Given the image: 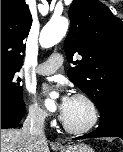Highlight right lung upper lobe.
<instances>
[{"label":"right lung upper lobe","instance_id":"cb5924a9","mask_svg":"<svg viewBox=\"0 0 123 152\" xmlns=\"http://www.w3.org/2000/svg\"><path fill=\"white\" fill-rule=\"evenodd\" d=\"M31 24L24 0H1V67L20 69Z\"/></svg>","mask_w":123,"mask_h":152}]
</instances>
